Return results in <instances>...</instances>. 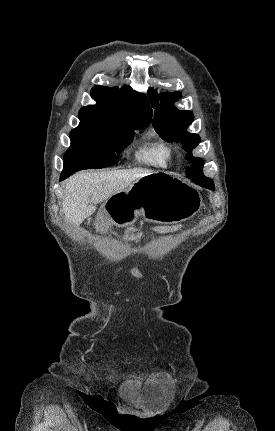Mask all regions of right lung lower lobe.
Masks as SVG:
<instances>
[{
	"label": "right lung lower lobe",
	"instance_id": "98d812e1",
	"mask_svg": "<svg viewBox=\"0 0 275 431\" xmlns=\"http://www.w3.org/2000/svg\"><path fill=\"white\" fill-rule=\"evenodd\" d=\"M73 173H63L62 172V174H61V176H60V180H63V179H65V178H67V177H69L70 175H72Z\"/></svg>",
	"mask_w": 275,
	"mask_h": 431
}]
</instances>
